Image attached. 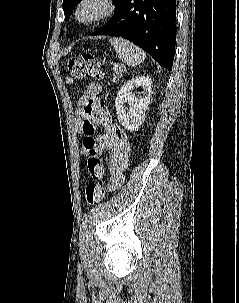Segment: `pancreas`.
<instances>
[{
	"instance_id": "cf45deb5",
	"label": "pancreas",
	"mask_w": 239,
	"mask_h": 303,
	"mask_svg": "<svg viewBox=\"0 0 239 303\" xmlns=\"http://www.w3.org/2000/svg\"><path fill=\"white\" fill-rule=\"evenodd\" d=\"M113 70H114L113 82H117L122 77L123 73L126 71V68L121 64V65H115Z\"/></svg>"
}]
</instances>
